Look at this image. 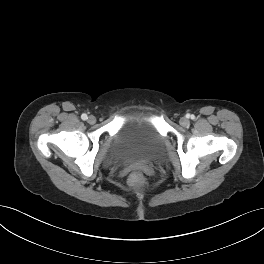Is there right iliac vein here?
Returning <instances> with one entry per match:
<instances>
[{"label":"right iliac vein","mask_w":264,"mask_h":264,"mask_svg":"<svg viewBox=\"0 0 264 264\" xmlns=\"http://www.w3.org/2000/svg\"><path fill=\"white\" fill-rule=\"evenodd\" d=\"M95 122H96V118L93 115L88 117V123L89 124H94Z\"/></svg>","instance_id":"1"}]
</instances>
